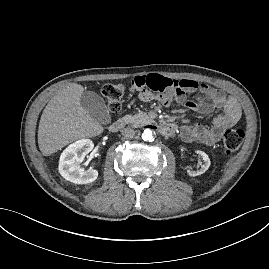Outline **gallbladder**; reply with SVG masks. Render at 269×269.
<instances>
[{
	"instance_id": "1",
	"label": "gallbladder",
	"mask_w": 269,
	"mask_h": 269,
	"mask_svg": "<svg viewBox=\"0 0 269 269\" xmlns=\"http://www.w3.org/2000/svg\"><path fill=\"white\" fill-rule=\"evenodd\" d=\"M80 105L100 124H109L111 116L101 96L93 91H85L80 97Z\"/></svg>"
}]
</instances>
